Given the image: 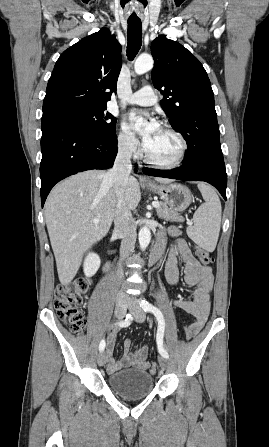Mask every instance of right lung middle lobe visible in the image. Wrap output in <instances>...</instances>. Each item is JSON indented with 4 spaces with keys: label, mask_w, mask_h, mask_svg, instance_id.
Here are the masks:
<instances>
[{
    "label": "right lung middle lobe",
    "mask_w": 269,
    "mask_h": 447,
    "mask_svg": "<svg viewBox=\"0 0 269 447\" xmlns=\"http://www.w3.org/2000/svg\"><path fill=\"white\" fill-rule=\"evenodd\" d=\"M106 106H64L55 109V113H64L75 118L84 128L109 135L116 133V119L109 112L104 113Z\"/></svg>",
    "instance_id": "obj_1"
}]
</instances>
